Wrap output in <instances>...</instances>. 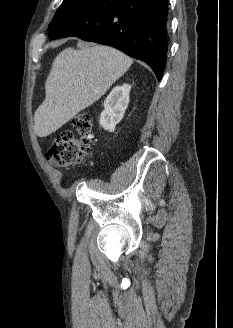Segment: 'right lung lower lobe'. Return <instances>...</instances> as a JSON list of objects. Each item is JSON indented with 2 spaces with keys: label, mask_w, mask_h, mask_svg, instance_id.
Segmentation results:
<instances>
[{
  "label": "right lung lower lobe",
  "mask_w": 233,
  "mask_h": 328,
  "mask_svg": "<svg viewBox=\"0 0 233 328\" xmlns=\"http://www.w3.org/2000/svg\"><path fill=\"white\" fill-rule=\"evenodd\" d=\"M168 0H94L50 27L51 40L76 36L145 61L161 80L167 55Z\"/></svg>",
  "instance_id": "1"
}]
</instances>
